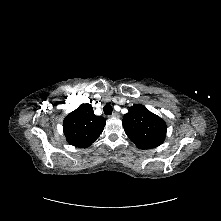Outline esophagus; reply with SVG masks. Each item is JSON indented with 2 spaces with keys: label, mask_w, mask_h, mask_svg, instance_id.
<instances>
[{
  "label": "esophagus",
  "mask_w": 221,
  "mask_h": 221,
  "mask_svg": "<svg viewBox=\"0 0 221 221\" xmlns=\"http://www.w3.org/2000/svg\"><path fill=\"white\" fill-rule=\"evenodd\" d=\"M111 118H119L118 112H114L111 116Z\"/></svg>",
  "instance_id": "esophagus-1"
}]
</instances>
